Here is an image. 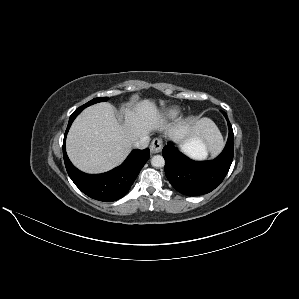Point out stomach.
<instances>
[{"instance_id": "1", "label": "stomach", "mask_w": 299, "mask_h": 299, "mask_svg": "<svg viewBox=\"0 0 299 299\" xmlns=\"http://www.w3.org/2000/svg\"><path fill=\"white\" fill-rule=\"evenodd\" d=\"M203 146V140L198 136H193L183 144L184 150L191 154H196L197 150H199Z\"/></svg>"}]
</instances>
